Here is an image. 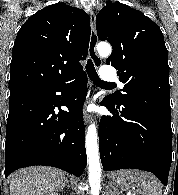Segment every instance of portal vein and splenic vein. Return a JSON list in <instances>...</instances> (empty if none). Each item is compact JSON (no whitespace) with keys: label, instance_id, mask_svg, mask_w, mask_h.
<instances>
[{"label":"portal vein and splenic vein","instance_id":"portal-vein-and-splenic-vein-1","mask_svg":"<svg viewBox=\"0 0 178 195\" xmlns=\"http://www.w3.org/2000/svg\"><path fill=\"white\" fill-rule=\"evenodd\" d=\"M127 195H137V194H136V193H133V194L129 193V194H127Z\"/></svg>","mask_w":178,"mask_h":195}]
</instances>
